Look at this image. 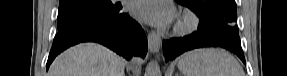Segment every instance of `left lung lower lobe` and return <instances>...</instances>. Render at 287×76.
Here are the masks:
<instances>
[{
    "instance_id": "obj_1",
    "label": "left lung lower lobe",
    "mask_w": 287,
    "mask_h": 76,
    "mask_svg": "<svg viewBox=\"0 0 287 76\" xmlns=\"http://www.w3.org/2000/svg\"><path fill=\"white\" fill-rule=\"evenodd\" d=\"M200 47H222L238 55L244 62L239 36H232L216 29H212L207 24L200 21L198 31L183 38H172L163 42V51L166 61L173 60L176 56L185 51Z\"/></svg>"
}]
</instances>
